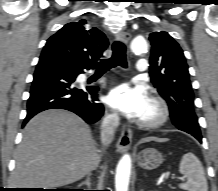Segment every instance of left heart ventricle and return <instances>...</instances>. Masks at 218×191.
<instances>
[{
    "instance_id": "1",
    "label": "left heart ventricle",
    "mask_w": 218,
    "mask_h": 191,
    "mask_svg": "<svg viewBox=\"0 0 218 191\" xmlns=\"http://www.w3.org/2000/svg\"><path fill=\"white\" fill-rule=\"evenodd\" d=\"M153 113H154V109H153L152 105L149 102L148 105L146 106L144 112L142 113L140 119L149 118V117H151L153 115Z\"/></svg>"
}]
</instances>
